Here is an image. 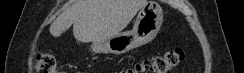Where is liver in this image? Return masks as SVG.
I'll return each instance as SVG.
<instances>
[{"label":"liver","mask_w":244,"mask_h":73,"mask_svg":"<svg viewBox=\"0 0 244 73\" xmlns=\"http://www.w3.org/2000/svg\"><path fill=\"white\" fill-rule=\"evenodd\" d=\"M147 0H76L51 24L50 34L61 36L73 25L77 41L98 42L120 33Z\"/></svg>","instance_id":"liver-1"}]
</instances>
